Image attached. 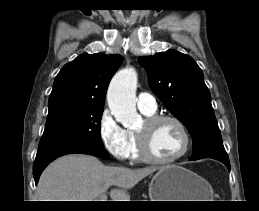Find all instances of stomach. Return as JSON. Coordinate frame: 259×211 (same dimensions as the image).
Returning a JSON list of instances; mask_svg holds the SVG:
<instances>
[{"mask_svg": "<svg viewBox=\"0 0 259 211\" xmlns=\"http://www.w3.org/2000/svg\"><path fill=\"white\" fill-rule=\"evenodd\" d=\"M150 201H208L210 185L194 172L177 165L160 168L149 184Z\"/></svg>", "mask_w": 259, "mask_h": 211, "instance_id": "1", "label": "stomach"}]
</instances>
